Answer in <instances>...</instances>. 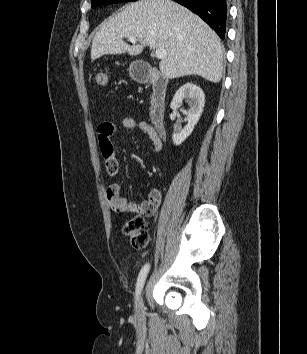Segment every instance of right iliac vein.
<instances>
[{
	"label": "right iliac vein",
	"mask_w": 307,
	"mask_h": 354,
	"mask_svg": "<svg viewBox=\"0 0 307 354\" xmlns=\"http://www.w3.org/2000/svg\"><path fill=\"white\" fill-rule=\"evenodd\" d=\"M145 315V307H144V302L143 298L140 297L137 303V309H136V316L139 321H142Z\"/></svg>",
	"instance_id": "obj_1"
}]
</instances>
